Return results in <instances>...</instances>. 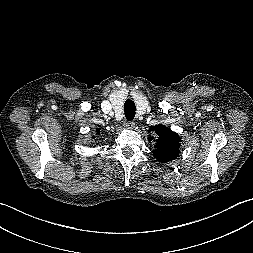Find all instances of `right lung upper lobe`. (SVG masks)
<instances>
[{"label":"right lung upper lobe","mask_w":253,"mask_h":253,"mask_svg":"<svg viewBox=\"0 0 253 253\" xmlns=\"http://www.w3.org/2000/svg\"><path fill=\"white\" fill-rule=\"evenodd\" d=\"M97 133L100 134V129H97Z\"/></svg>","instance_id":"1"}]
</instances>
